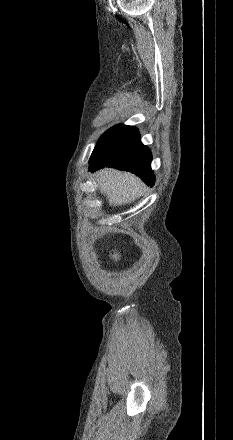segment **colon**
<instances>
[{
    "instance_id": "colon-1",
    "label": "colon",
    "mask_w": 233,
    "mask_h": 440,
    "mask_svg": "<svg viewBox=\"0 0 233 440\" xmlns=\"http://www.w3.org/2000/svg\"><path fill=\"white\" fill-rule=\"evenodd\" d=\"M111 258L115 261L119 260L120 256L115 251L111 252Z\"/></svg>"
}]
</instances>
